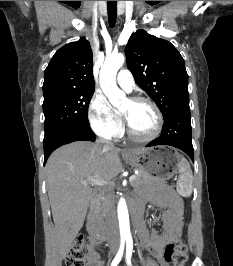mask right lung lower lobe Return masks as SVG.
<instances>
[{"instance_id":"obj_1","label":"right lung lower lobe","mask_w":233,"mask_h":266,"mask_svg":"<svg viewBox=\"0 0 233 266\" xmlns=\"http://www.w3.org/2000/svg\"><path fill=\"white\" fill-rule=\"evenodd\" d=\"M95 141V134L90 126H76L63 129L49 137L44 138V165L49 155L58 147L74 141Z\"/></svg>"}]
</instances>
